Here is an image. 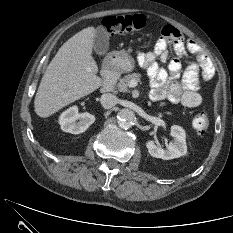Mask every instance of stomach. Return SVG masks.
Masks as SVG:
<instances>
[{"label": "stomach", "mask_w": 233, "mask_h": 233, "mask_svg": "<svg viewBox=\"0 0 233 233\" xmlns=\"http://www.w3.org/2000/svg\"><path fill=\"white\" fill-rule=\"evenodd\" d=\"M114 65L121 72H129L135 67L133 58L124 50L115 53Z\"/></svg>", "instance_id": "0dacf381"}]
</instances>
